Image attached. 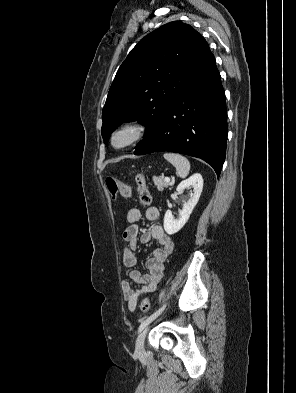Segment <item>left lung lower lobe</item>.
<instances>
[{
    "instance_id": "1",
    "label": "left lung lower lobe",
    "mask_w": 296,
    "mask_h": 393,
    "mask_svg": "<svg viewBox=\"0 0 296 393\" xmlns=\"http://www.w3.org/2000/svg\"><path fill=\"white\" fill-rule=\"evenodd\" d=\"M227 142L225 92L213 54L177 95L135 155L172 151L200 158L220 175Z\"/></svg>"
}]
</instances>
